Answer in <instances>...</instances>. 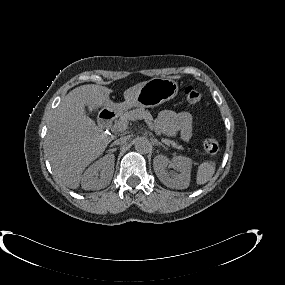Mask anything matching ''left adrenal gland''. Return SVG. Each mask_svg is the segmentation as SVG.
<instances>
[{
  "label": "left adrenal gland",
  "instance_id": "a2214340",
  "mask_svg": "<svg viewBox=\"0 0 285 285\" xmlns=\"http://www.w3.org/2000/svg\"><path fill=\"white\" fill-rule=\"evenodd\" d=\"M154 143H155L156 145H161L162 147H165V146H164L161 142H159L158 140H155Z\"/></svg>",
  "mask_w": 285,
  "mask_h": 285
}]
</instances>
